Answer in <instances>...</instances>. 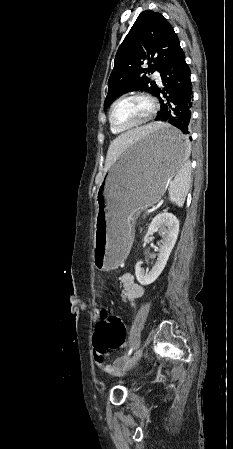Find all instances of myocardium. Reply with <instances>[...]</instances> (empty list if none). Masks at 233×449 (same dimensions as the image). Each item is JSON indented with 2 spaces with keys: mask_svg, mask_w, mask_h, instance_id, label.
<instances>
[{
  "mask_svg": "<svg viewBox=\"0 0 233 449\" xmlns=\"http://www.w3.org/2000/svg\"><path fill=\"white\" fill-rule=\"evenodd\" d=\"M129 97H140V98L144 99L149 105V112L143 120H141L135 124H132L129 126H119L113 121V109L118 102H120L121 100H123L125 98H129ZM156 109H157L156 101L151 95H149L146 92L132 91V92H128V93L121 95L111 104L109 112H108V120H109L110 126L113 129L120 131V132H124V131L136 129V128L146 125L148 122L151 121V119L155 115Z\"/></svg>",
  "mask_w": 233,
  "mask_h": 449,
  "instance_id": "obj_1",
  "label": "myocardium"
}]
</instances>
